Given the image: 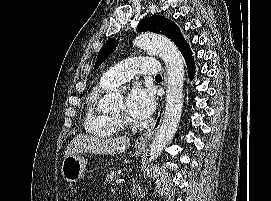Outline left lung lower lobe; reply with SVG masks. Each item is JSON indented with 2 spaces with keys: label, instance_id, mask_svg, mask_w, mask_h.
Here are the masks:
<instances>
[{
  "label": "left lung lower lobe",
  "instance_id": "obj_1",
  "mask_svg": "<svg viewBox=\"0 0 271 201\" xmlns=\"http://www.w3.org/2000/svg\"><path fill=\"white\" fill-rule=\"evenodd\" d=\"M179 50L182 53L183 57L185 58V61L188 67L189 78L192 80L193 73H194V61H193L191 49L189 45L186 43L182 45V47Z\"/></svg>",
  "mask_w": 271,
  "mask_h": 201
}]
</instances>
